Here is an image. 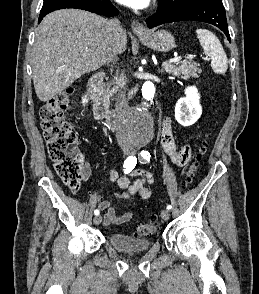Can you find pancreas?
<instances>
[{"label":"pancreas","instance_id":"cf45deb5","mask_svg":"<svg viewBox=\"0 0 259 294\" xmlns=\"http://www.w3.org/2000/svg\"><path fill=\"white\" fill-rule=\"evenodd\" d=\"M200 64L191 60H184L178 62L177 64H166L164 65V70L172 74L173 76L180 77L181 79L198 78L201 73L199 68ZM116 91V88L110 90V95L112 96Z\"/></svg>","mask_w":259,"mask_h":294}]
</instances>
